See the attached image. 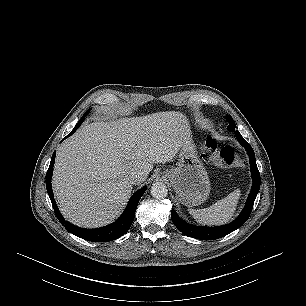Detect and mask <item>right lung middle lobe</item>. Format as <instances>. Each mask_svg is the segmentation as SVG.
<instances>
[{
    "mask_svg": "<svg viewBox=\"0 0 306 306\" xmlns=\"http://www.w3.org/2000/svg\"><path fill=\"white\" fill-rule=\"evenodd\" d=\"M88 111H89V110H87V111L84 113V115L82 116V118L80 119V121L76 124V126L74 127V129L79 128V126H80L81 123L84 121L85 117L87 116V112H88Z\"/></svg>",
    "mask_w": 306,
    "mask_h": 306,
    "instance_id": "right-lung-middle-lobe-1",
    "label": "right lung middle lobe"
}]
</instances>
